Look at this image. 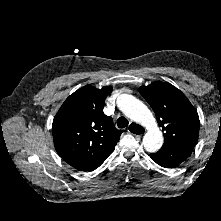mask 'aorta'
<instances>
[{
  "label": "aorta",
  "instance_id": "aorta-1",
  "mask_svg": "<svg viewBox=\"0 0 221 221\" xmlns=\"http://www.w3.org/2000/svg\"><path fill=\"white\" fill-rule=\"evenodd\" d=\"M119 108L128 118L148 129L143 137V146L148 152H157L163 145V135L148 107L134 96L124 94Z\"/></svg>",
  "mask_w": 221,
  "mask_h": 221
}]
</instances>
